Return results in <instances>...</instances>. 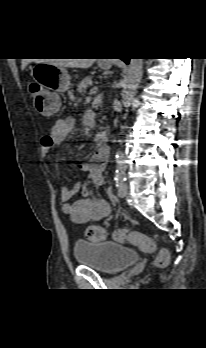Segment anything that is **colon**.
<instances>
[{
	"label": "colon",
	"instance_id": "1",
	"mask_svg": "<svg viewBox=\"0 0 206 348\" xmlns=\"http://www.w3.org/2000/svg\"><path fill=\"white\" fill-rule=\"evenodd\" d=\"M28 92L37 108H40L47 112H54L56 110L55 101H48L45 98L42 88L37 83H30L28 86ZM86 237L90 241H103L107 238V232L105 228L92 225L86 230ZM113 238L120 243H131L137 246L141 251L151 253L156 250L155 243L148 237L142 235L137 231H130L127 229H117L113 232ZM170 255L167 250L162 249L158 252L155 259V264L158 267H164L168 264Z\"/></svg>",
	"mask_w": 206,
	"mask_h": 348
}]
</instances>
